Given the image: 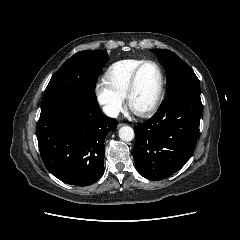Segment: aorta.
Returning <instances> with one entry per match:
<instances>
[{
  "label": "aorta",
  "mask_w": 240,
  "mask_h": 240,
  "mask_svg": "<svg viewBox=\"0 0 240 240\" xmlns=\"http://www.w3.org/2000/svg\"><path fill=\"white\" fill-rule=\"evenodd\" d=\"M119 138L125 142L132 141L134 138V130L130 126H122L119 129Z\"/></svg>",
  "instance_id": "obj_1"
}]
</instances>
